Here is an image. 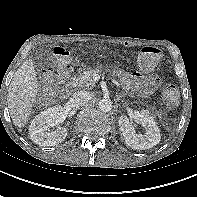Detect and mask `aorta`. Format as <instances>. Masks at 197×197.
<instances>
[{"label": "aorta", "instance_id": "obj_1", "mask_svg": "<svg viewBox=\"0 0 197 197\" xmlns=\"http://www.w3.org/2000/svg\"><path fill=\"white\" fill-rule=\"evenodd\" d=\"M98 106L101 111L109 112L112 109V101L110 99H102Z\"/></svg>", "mask_w": 197, "mask_h": 197}]
</instances>
